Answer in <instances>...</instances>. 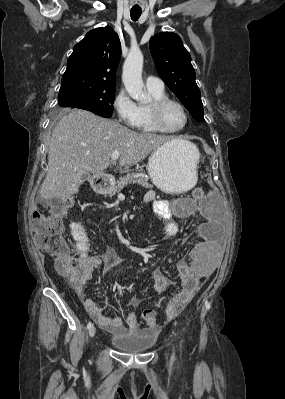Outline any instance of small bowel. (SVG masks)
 Returning a JSON list of instances; mask_svg holds the SVG:
<instances>
[{"label":"small bowel","mask_w":285,"mask_h":399,"mask_svg":"<svg viewBox=\"0 0 285 399\" xmlns=\"http://www.w3.org/2000/svg\"><path fill=\"white\" fill-rule=\"evenodd\" d=\"M145 204H152L154 212L164 221L163 233L166 240L173 239L179 233L178 223L174 220V215L169 209L165 199H158L154 191L149 190L144 196ZM198 214L203 218V226L199 230V241L194 244L189 253V260H179L175 265V272L180 279L182 289L176 293L169 304L184 306L187 304L194 292L201 283L210 275L219 257V245L214 240L216 221L209 206H199ZM190 213H180V217H189ZM81 225L71 222L69 225L70 235L74 240L81 238ZM102 263V259L97 256L78 255L75 264L80 272V277L76 282V287L80 293L84 285L89 281L94 270ZM154 290L157 294L164 293L171 284V277L162 272L151 274ZM139 304L137 299H133L129 305L134 310ZM85 308L99 327L111 334H124L128 331L133 332L138 329L137 316L134 311L129 312L126 317L127 327L123 326V321L119 316H107L103 314L100 307L92 299L85 300ZM169 319H172L169 317ZM153 327V326H152Z\"/></svg>","instance_id":"c3829d8e"}]
</instances>
